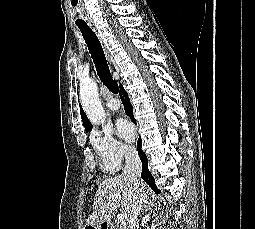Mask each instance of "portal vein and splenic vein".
<instances>
[{
    "mask_svg": "<svg viewBox=\"0 0 255 229\" xmlns=\"http://www.w3.org/2000/svg\"><path fill=\"white\" fill-rule=\"evenodd\" d=\"M118 198H120V196L119 195H115V196H112L110 199L111 200H115V199H118ZM117 221L118 222H123L124 221V215L122 213L117 215Z\"/></svg>",
    "mask_w": 255,
    "mask_h": 229,
    "instance_id": "1",
    "label": "portal vein and splenic vein"
}]
</instances>
